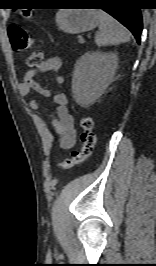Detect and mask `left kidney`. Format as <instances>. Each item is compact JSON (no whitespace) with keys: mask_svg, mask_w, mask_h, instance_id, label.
Masks as SVG:
<instances>
[{"mask_svg":"<svg viewBox=\"0 0 156 266\" xmlns=\"http://www.w3.org/2000/svg\"><path fill=\"white\" fill-rule=\"evenodd\" d=\"M118 66L116 53L87 52L75 64L72 94L76 103L89 106L105 92Z\"/></svg>","mask_w":156,"mask_h":266,"instance_id":"1","label":"left kidney"}]
</instances>
